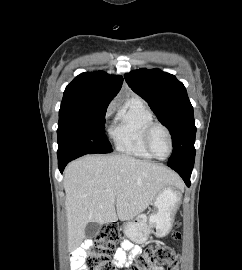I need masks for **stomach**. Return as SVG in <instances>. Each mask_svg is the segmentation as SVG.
<instances>
[{
  "label": "stomach",
  "instance_id": "1",
  "mask_svg": "<svg viewBox=\"0 0 242 270\" xmlns=\"http://www.w3.org/2000/svg\"><path fill=\"white\" fill-rule=\"evenodd\" d=\"M180 202L181 192L175 186L164 187L154 199L155 211L151 215L140 214L125 223L126 237L136 244H144L151 233L165 237L172 229Z\"/></svg>",
  "mask_w": 242,
  "mask_h": 270
}]
</instances>
